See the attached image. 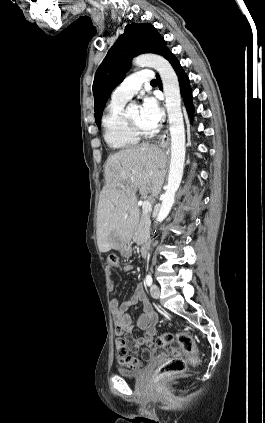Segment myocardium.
Listing matches in <instances>:
<instances>
[{"instance_id": "f54148a6", "label": "myocardium", "mask_w": 265, "mask_h": 423, "mask_svg": "<svg viewBox=\"0 0 265 423\" xmlns=\"http://www.w3.org/2000/svg\"><path fill=\"white\" fill-rule=\"evenodd\" d=\"M125 121L127 123V125L129 126V128L138 136H144L146 134H148L149 129L148 128H144L141 127L139 125H137L135 122H133L128 115H125Z\"/></svg>"}]
</instances>
